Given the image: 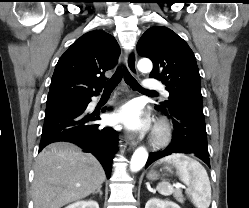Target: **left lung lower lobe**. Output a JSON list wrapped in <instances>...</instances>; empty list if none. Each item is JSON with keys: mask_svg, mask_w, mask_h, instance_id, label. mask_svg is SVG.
Segmentation results:
<instances>
[{"mask_svg": "<svg viewBox=\"0 0 249 208\" xmlns=\"http://www.w3.org/2000/svg\"><path fill=\"white\" fill-rule=\"evenodd\" d=\"M162 112L172 119L174 126L172 140L164 150L149 154L146 167L155 160L173 153L195 154L210 167L203 111L175 105L168 112Z\"/></svg>", "mask_w": 249, "mask_h": 208, "instance_id": "left-lung-lower-lobe-1", "label": "left lung lower lobe"}]
</instances>
